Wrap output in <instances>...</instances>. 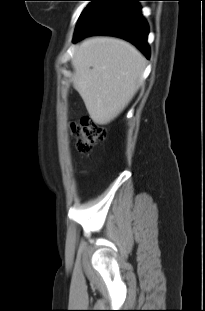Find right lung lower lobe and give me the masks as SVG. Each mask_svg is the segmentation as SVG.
Segmentation results:
<instances>
[{
  "label": "right lung lower lobe",
  "mask_w": 205,
  "mask_h": 311,
  "mask_svg": "<svg viewBox=\"0 0 205 311\" xmlns=\"http://www.w3.org/2000/svg\"><path fill=\"white\" fill-rule=\"evenodd\" d=\"M137 1L141 0H92L79 19L73 42L91 35L116 36L149 58L148 25Z\"/></svg>",
  "instance_id": "98d812e1"
}]
</instances>
